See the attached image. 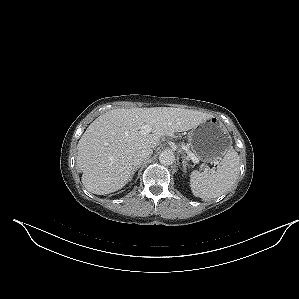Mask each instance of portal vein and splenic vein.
Instances as JSON below:
<instances>
[{
    "mask_svg": "<svg viewBox=\"0 0 299 299\" xmlns=\"http://www.w3.org/2000/svg\"><path fill=\"white\" fill-rule=\"evenodd\" d=\"M151 130H152V127L150 125H143L141 127L140 133L143 134V135H145V134L150 133ZM187 153L189 154V156L191 157V159L194 160L193 155L191 153H189V152H187Z\"/></svg>",
    "mask_w": 299,
    "mask_h": 299,
    "instance_id": "18ae733b",
    "label": "portal vein and splenic vein"
}]
</instances>
